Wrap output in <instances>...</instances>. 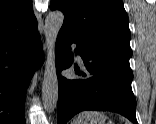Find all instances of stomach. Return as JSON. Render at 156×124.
Returning <instances> with one entry per match:
<instances>
[{
  "label": "stomach",
  "mask_w": 156,
  "mask_h": 124,
  "mask_svg": "<svg viewBox=\"0 0 156 124\" xmlns=\"http://www.w3.org/2000/svg\"><path fill=\"white\" fill-rule=\"evenodd\" d=\"M72 124H112L104 115H98L93 118H80L73 121Z\"/></svg>",
  "instance_id": "stomach-1"
}]
</instances>
